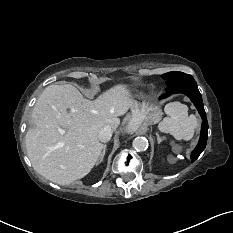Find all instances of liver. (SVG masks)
<instances>
[{
	"instance_id": "liver-1",
	"label": "liver",
	"mask_w": 233,
	"mask_h": 233,
	"mask_svg": "<svg viewBox=\"0 0 233 233\" xmlns=\"http://www.w3.org/2000/svg\"><path fill=\"white\" fill-rule=\"evenodd\" d=\"M131 106L130 93L123 84L112 87L94 101L70 84L47 86L31 114L34 127L25 137L34 170L60 185L83 178L104 148L98 136L100 130L105 126L116 130L120 124L118 117Z\"/></svg>"
}]
</instances>
